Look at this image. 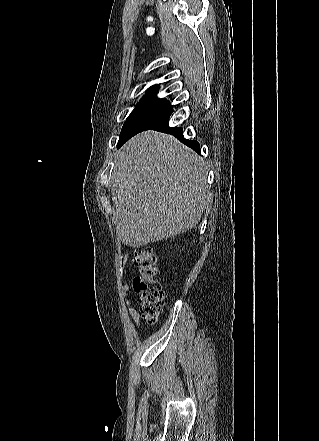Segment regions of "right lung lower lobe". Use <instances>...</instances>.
<instances>
[{
  "label": "right lung lower lobe",
  "mask_w": 319,
  "mask_h": 441,
  "mask_svg": "<svg viewBox=\"0 0 319 441\" xmlns=\"http://www.w3.org/2000/svg\"><path fill=\"white\" fill-rule=\"evenodd\" d=\"M171 113H172V110H170L167 113H165L164 115L160 116L154 122H152L150 125H148L143 131L156 130V131L171 134V135L175 136L176 138H178L180 141L184 142L187 146L194 149L196 152L200 153V147H199L198 142L185 140L184 136L182 134V128L169 127L168 122H169V117H170Z\"/></svg>",
  "instance_id": "right-lung-lower-lobe-1"
}]
</instances>
